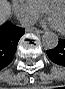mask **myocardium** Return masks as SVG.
<instances>
[{"label": "myocardium", "mask_w": 65, "mask_h": 89, "mask_svg": "<svg viewBox=\"0 0 65 89\" xmlns=\"http://www.w3.org/2000/svg\"><path fill=\"white\" fill-rule=\"evenodd\" d=\"M52 4H62L65 7V1L63 0H53L46 4V12L48 13V7Z\"/></svg>", "instance_id": "myocardium-1"}]
</instances>
